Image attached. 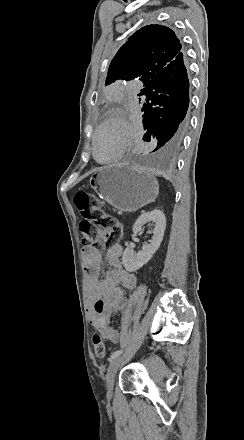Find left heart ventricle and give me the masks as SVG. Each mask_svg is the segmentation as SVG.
I'll use <instances>...</instances> for the list:
<instances>
[{
	"label": "left heart ventricle",
	"mask_w": 244,
	"mask_h": 440,
	"mask_svg": "<svg viewBox=\"0 0 244 440\" xmlns=\"http://www.w3.org/2000/svg\"><path fill=\"white\" fill-rule=\"evenodd\" d=\"M102 130L96 139V155L101 161H104L114 154L115 135L111 133L113 127Z\"/></svg>",
	"instance_id": "obj_1"
}]
</instances>
